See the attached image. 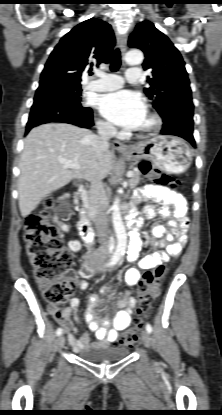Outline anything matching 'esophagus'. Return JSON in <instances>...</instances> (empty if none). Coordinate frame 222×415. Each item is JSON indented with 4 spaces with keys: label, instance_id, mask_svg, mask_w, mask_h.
<instances>
[{
    "label": "esophagus",
    "instance_id": "1",
    "mask_svg": "<svg viewBox=\"0 0 222 415\" xmlns=\"http://www.w3.org/2000/svg\"><path fill=\"white\" fill-rule=\"evenodd\" d=\"M117 38H118V43H119V46H120V49H121L122 57L124 58L126 50H127V38H126L125 35H118ZM112 144H113V147L118 149V150H124L125 151V150L129 149L127 145H125L122 142L117 141V140L113 141Z\"/></svg>",
    "mask_w": 222,
    "mask_h": 415
}]
</instances>
